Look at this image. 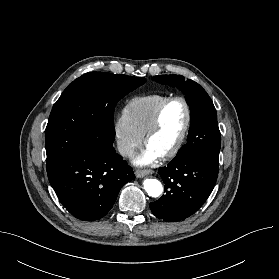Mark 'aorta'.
Segmentation results:
<instances>
[{
	"label": "aorta",
	"instance_id": "aorta-1",
	"mask_svg": "<svg viewBox=\"0 0 279 279\" xmlns=\"http://www.w3.org/2000/svg\"><path fill=\"white\" fill-rule=\"evenodd\" d=\"M145 191L151 197H159L163 192L162 184L157 179H145L143 182Z\"/></svg>",
	"mask_w": 279,
	"mask_h": 279
}]
</instances>
